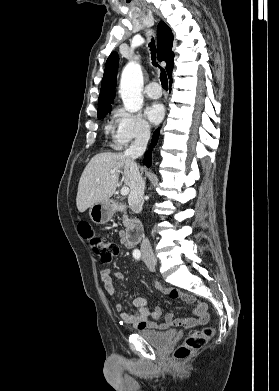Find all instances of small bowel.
Returning a JSON list of instances; mask_svg holds the SVG:
<instances>
[{"label":"small bowel","mask_w":279,"mask_h":391,"mask_svg":"<svg viewBox=\"0 0 279 391\" xmlns=\"http://www.w3.org/2000/svg\"><path fill=\"white\" fill-rule=\"evenodd\" d=\"M120 241L127 247L131 248L133 246L129 245L126 234L123 231L118 233ZM100 277L104 284L106 292L115 297L116 287L113 281L115 277L119 281H123L124 276L120 272L112 273L109 269H102L100 271ZM157 288L167 293L171 298L182 300L188 304L195 305V317H184V318H175L172 313H168L165 317V321L162 323H156L153 320L159 319L162 316V310L159 307H156L154 310H151L148 306V302L143 297H137L133 300V311L131 313H126L122 311V304L119 301L115 302V310L119 312L121 320L128 325H132L135 328L140 330L145 329H157L165 330L173 326H182L185 328L195 327L197 325H204L209 320V314L207 311V306L204 303L198 302L192 295L186 294L177 289H168L161 284H156Z\"/></svg>","instance_id":"small-bowel-1"}]
</instances>
